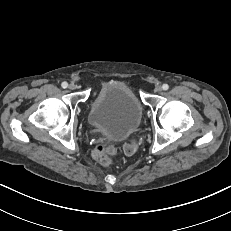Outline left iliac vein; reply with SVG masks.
<instances>
[{
  "instance_id": "1",
  "label": "left iliac vein",
  "mask_w": 231,
  "mask_h": 231,
  "mask_svg": "<svg viewBox=\"0 0 231 231\" xmlns=\"http://www.w3.org/2000/svg\"><path fill=\"white\" fill-rule=\"evenodd\" d=\"M162 87L160 86V85H157L155 88H154V91L156 92V93H160L161 91H162Z\"/></svg>"
}]
</instances>
